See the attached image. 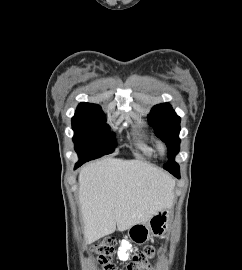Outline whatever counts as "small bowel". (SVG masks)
Segmentation results:
<instances>
[{
    "label": "small bowel",
    "instance_id": "c3829d8e",
    "mask_svg": "<svg viewBox=\"0 0 242 270\" xmlns=\"http://www.w3.org/2000/svg\"><path fill=\"white\" fill-rule=\"evenodd\" d=\"M127 251H128V244L126 242H122L118 250V257L122 260L127 259L128 257Z\"/></svg>",
    "mask_w": 242,
    "mask_h": 270
}]
</instances>
